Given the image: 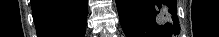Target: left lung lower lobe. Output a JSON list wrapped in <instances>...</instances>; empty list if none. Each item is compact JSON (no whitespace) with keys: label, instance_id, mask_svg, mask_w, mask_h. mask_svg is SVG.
Returning a JSON list of instances; mask_svg holds the SVG:
<instances>
[{"label":"left lung lower lobe","instance_id":"1","mask_svg":"<svg viewBox=\"0 0 219 37\" xmlns=\"http://www.w3.org/2000/svg\"><path fill=\"white\" fill-rule=\"evenodd\" d=\"M126 37H174L179 33L176 0H116Z\"/></svg>","mask_w":219,"mask_h":37}]
</instances>
